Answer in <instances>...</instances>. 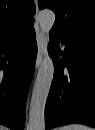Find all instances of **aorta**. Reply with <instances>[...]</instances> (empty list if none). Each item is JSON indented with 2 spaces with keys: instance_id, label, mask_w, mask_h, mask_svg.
<instances>
[{
  "instance_id": "762f6f07",
  "label": "aorta",
  "mask_w": 95,
  "mask_h": 130,
  "mask_svg": "<svg viewBox=\"0 0 95 130\" xmlns=\"http://www.w3.org/2000/svg\"><path fill=\"white\" fill-rule=\"evenodd\" d=\"M41 30L49 36L55 22L52 10L44 9L38 13ZM54 75V64L51 57L46 54L42 60L34 84L29 108V129L45 130V105Z\"/></svg>"
}]
</instances>
